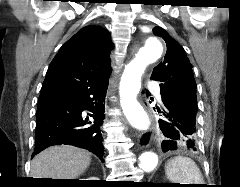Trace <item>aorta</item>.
I'll return each mask as SVG.
<instances>
[{
	"mask_svg": "<svg viewBox=\"0 0 240 187\" xmlns=\"http://www.w3.org/2000/svg\"><path fill=\"white\" fill-rule=\"evenodd\" d=\"M163 52L161 41L155 36H149L123 72L120 81V102L129 123L136 129L146 130L149 119L141 105L137 102V95L141 88V77L147 65L157 61ZM158 165V155L153 151H146L139 157V167L144 172L153 171Z\"/></svg>",
	"mask_w": 240,
	"mask_h": 187,
	"instance_id": "obj_1",
	"label": "aorta"
}]
</instances>
